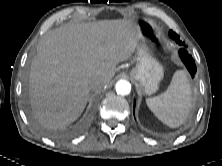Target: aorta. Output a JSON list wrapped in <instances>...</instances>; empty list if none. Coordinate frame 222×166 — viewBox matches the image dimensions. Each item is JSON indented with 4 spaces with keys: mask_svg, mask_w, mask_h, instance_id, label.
<instances>
[{
    "mask_svg": "<svg viewBox=\"0 0 222 166\" xmlns=\"http://www.w3.org/2000/svg\"><path fill=\"white\" fill-rule=\"evenodd\" d=\"M131 91V84L126 80H120L116 83V92L120 95H128Z\"/></svg>",
    "mask_w": 222,
    "mask_h": 166,
    "instance_id": "762f6f07",
    "label": "aorta"
}]
</instances>
